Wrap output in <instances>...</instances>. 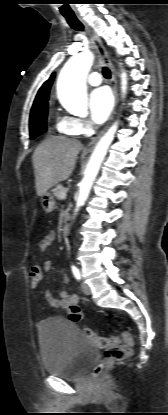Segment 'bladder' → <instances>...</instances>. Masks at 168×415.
Returning a JSON list of instances; mask_svg holds the SVG:
<instances>
[{"label":"bladder","instance_id":"bladder-1","mask_svg":"<svg viewBox=\"0 0 168 415\" xmlns=\"http://www.w3.org/2000/svg\"><path fill=\"white\" fill-rule=\"evenodd\" d=\"M40 346L45 371L64 379L79 378L98 356L75 322L60 316L41 322Z\"/></svg>","mask_w":168,"mask_h":415}]
</instances>
